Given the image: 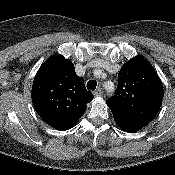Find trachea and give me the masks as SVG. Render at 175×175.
Segmentation results:
<instances>
[{
	"mask_svg": "<svg viewBox=\"0 0 175 175\" xmlns=\"http://www.w3.org/2000/svg\"><path fill=\"white\" fill-rule=\"evenodd\" d=\"M97 82L96 80H89L87 82V89L94 91L96 89Z\"/></svg>",
	"mask_w": 175,
	"mask_h": 175,
	"instance_id": "3493384b",
	"label": "trachea"
}]
</instances>
